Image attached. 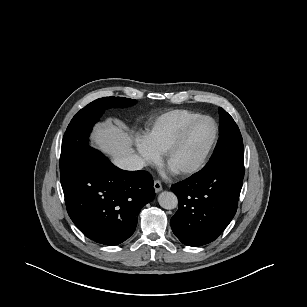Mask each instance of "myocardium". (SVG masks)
I'll return each mask as SVG.
<instances>
[{"mask_svg":"<svg viewBox=\"0 0 307 307\" xmlns=\"http://www.w3.org/2000/svg\"><path fill=\"white\" fill-rule=\"evenodd\" d=\"M202 120H209L210 122H212L213 126H214V136L213 139L209 145V147L207 148L206 152L204 153L203 157L201 158V160L195 164L192 167L186 168V169H182L179 171H174V173L178 176H191L194 175L196 173H198L199 171H201L206 164L208 163L216 145L219 139V125L216 122V120L214 118H212L211 116L208 115H200L190 121H188L180 130L179 132L176 134V136L173 138V140L169 143V145L167 146V148L165 149V151L163 152V162L164 164L168 167V161L171 157V155L173 154V152L176 150V148L180 145V143L182 142V140L184 139V137L187 135V133L189 132V130L198 122L202 121Z\"/></svg>","mask_w":307,"mask_h":307,"instance_id":"1","label":"myocardium"}]
</instances>
